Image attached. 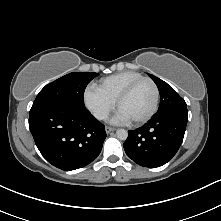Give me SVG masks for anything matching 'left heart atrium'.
<instances>
[{"label":"left heart atrium","instance_id":"39dd6f15","mask_svg":"<svg viewBox=\"0 0 221 221\" xmlns=\"http://www.w3.org/2000/svg\"><path fill=\"white\" fill-rule=\"evenodd\" d=\"M112 122L115 124H124L129 122V119L122 111L118 110L117 113L112 118Z\"/></svg>","mask_w":221,"mask_h":221}]
</instances>
